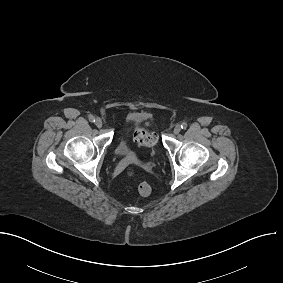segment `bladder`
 Masks as SVG:
<instances>
[{"label": "bladder", "instance_id": "bladder-1", "mask_svg": "<svg viewBox=\"0 0 283 283\" xmlns=\"http://www.w3.org/2000/svg\"><path fill=\"white\" fill-rule=\"evenodd\" d=\"M143 122L142 117H135L133 119V123L135 125L140 124ZM153 137V144L152 146L155 147L157 145V135L154 132H150ZM115 154L119 158H126V159H134L137 157L136 151L131 147L128 135L125 133L120 140L118 141L116 147H115Z\"/></svg>", "mask_w": 283, "mask_h": 283}]
</instances>
